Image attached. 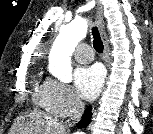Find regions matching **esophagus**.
<instances>
[{
  "label": "esophagus",
  "instance_id": "34e87169",
  "mask_svg": "<svg viewBox=\"0 0 153 134\" xmlns=\"http://www.w3.org/2000/svg\"><path fill=\"white\" fill-rule=\"evenodd\" d=\"M96 9H97L96 23H97V26H98V29H99V32H100V35L103 41V45H104V59H105V62L108 63L109 46H108L107 37L105 33L103 9L99 1H97ZM93 110H94V106H93Z\"/></svg>",
  "mask_w": 153,
  "mask_h": 134
}]
</instances>
